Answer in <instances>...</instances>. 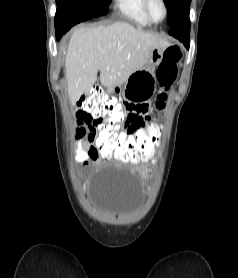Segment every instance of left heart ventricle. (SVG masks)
<instances>
[{"label": "left heart ventricle", "mask_w": 238, "mask_h": 278, "mask_svg": "<svg viewBox=\"0 0 238 278\" xmlns=\"http://www.w3.org/2000/svg\"><path fill=\"white\" fill-rule=\"evenodd\" d=\"M150 11L156 20H160L164 15V10L159 0H151Z\"/></svg>", "instance_id": "obj_1"}]
</instances>
